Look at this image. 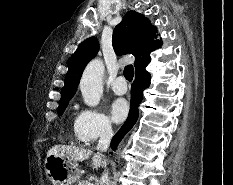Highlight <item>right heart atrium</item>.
<instances>
[{"instance_id":"right-heart-atrium-1","label":"right heart atrium","mask_w":233,"mask_h":185,"mask_svg":"<svg viewBox=\"0 0 233 185\" xmlns=\"http://www.w3.org/2000/svg\"><path fill=\"white\" fill-rule=\"evenodd\" d=\"M74 131L80 142L90 144L100 138L109 136L112 127L108 118L100 111L83 108L75 120Z\"/></svg>"}]
</instances>
